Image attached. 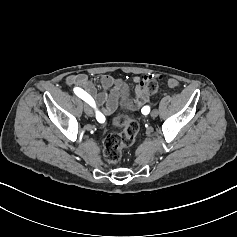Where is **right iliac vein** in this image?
<instances>
[{"mask_svg": "<svg viewBox=\"0 0 237 237\" xmlns=\"http://www.w3.org/2000/svg\"><path fill=\"white\" fill-rule=\"evenodd\" d=\"M84 112H85L86 115H88V116H92V115H93V111H92V109H91L88 105H85V106H84Z\"/></svg>", "mask_w": 237, "mask_h": 237, "instance_id": "right-iliac-vein-1", "label": "right iliac vein"}]
</instances>
